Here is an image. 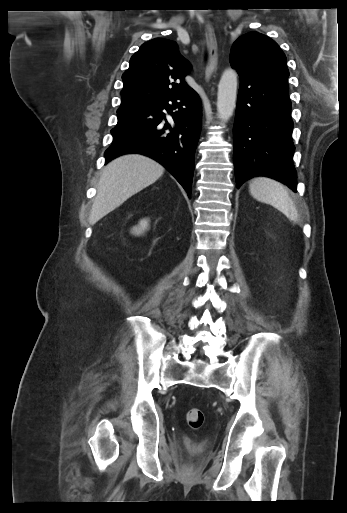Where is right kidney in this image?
Here are the masks:
<instances>
[{
    "instance_id": "1",
    "label": "right kidney",
    "mask_w": 347,
    "mask_h": 513,
    "mask_svg": "<svg viewBox=\"0 0 347 513\" xmlns=\"http://www.w3.org/2000/svg\"><path fill=\"white\" fill-rule=\"evenodd\" d=\"M149 226V220L147 218H144L140 220L139 224L137 226H134L131 230V233L134 235H141L147 230Z\"/></svg>"
}]
</instances>
